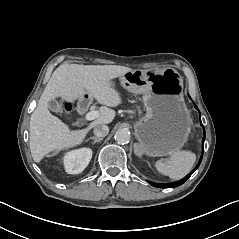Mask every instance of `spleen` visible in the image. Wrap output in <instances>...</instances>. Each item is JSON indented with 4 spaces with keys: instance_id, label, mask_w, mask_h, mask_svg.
<instances>
[{
    "instance_id": "1",
    "label": "spleen",
    "mask_w": 239,
    "mask_h": 239,
    "mask_svg": "<svg viewBox=\"0 0 239 239\" xmlns=\"http://www.w3.org/2000/svg\"><path fill=\"white\" fill-rule=\"evenodd\" d=\"M196 161V155L190 151H179L167 161L159 160L155 167L163 175L173 180H180L190 173Z\"/></svg>"
}]
</instances>
